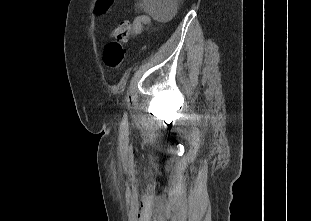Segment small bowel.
Wrapping results in <instances>:
<instances>
[{
  "label": "small bowel",
  "instance_id": "c3829d8e",
  "mask_svg": "<svg viewBox=\"0 0 311 221\" xmlns=\"http://www.w3.org/2000/svg\"><path fill=\"white\" fill-rule=\"evenodd\" d=\"M152 22L151 18L148 15H139L137 16L132 24V32L134 34H139L144 26L150 25Z\"/></svg>",
  "mask_w": 311,
  "mask_h": 221
}]
</instances>
